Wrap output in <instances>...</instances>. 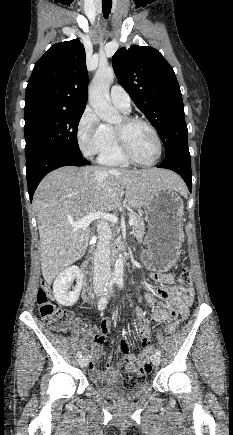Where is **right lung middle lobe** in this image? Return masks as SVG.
<instances>
[{
    "label": "right lung middle lobe",
    "mask_w": 233,
    "mask_h": 435,
    "mask_svg": "<svg viewBox=\"0 0 233 435\" xmlns=\"http://www.w3.org/2000/svg\"><path fill=\"white\" fill-rule=\"evenodd\" d=\"M83 110L44 111L25 117L26 156L42 149H60L82 155L77 129Z\"/></svg>",
    "instance_id": "dd1d6c3e"
}]
</instances>
